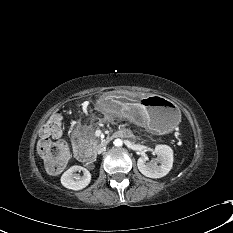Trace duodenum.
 <instances>
[{
  "instance_id": "410a0bca",
  "label": "duodenum",
  "mask_w": 233,
  "mask_h": 233,
  "mask_svg": "<svg viewBox=\"0 0 233 233\" xmlns=\"http://www.w3.org/2000/svg\"><path fill=\"white\" fill-rule=\"evenodd\" d=\"M117 135L127 137L128 134L126 131L121 130L117 133ZM74 149H75V155L78 160L82 162H89L93 160V153L84 146L80 144H75Z\"/></svg>"
}]
</instances>
